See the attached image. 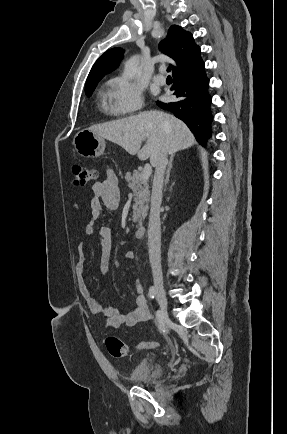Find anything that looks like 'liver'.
<instances>
[{"mask_svg":"<svg viewBox=\"0 0 287 434\" xmlns=\"http://www.w3.org/2000/svg\"><path fill=\"white\" fill-rule=\"evenodd\" d=\"M97 135L118 144L142 161L150 158L152 166L163 148L174 155L193 146L196 141L188 127L168 113L151 110L89 128ZM146 140L141 148L142 142Z\"/></svg>","mask_w":287,"mask_h":434,"instance_id":"liver-1","label":"liver"}]
</instances>
